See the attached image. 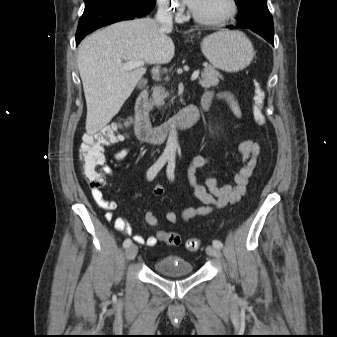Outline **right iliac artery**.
<instances>
[{"label":"right iliac artery","instance_id":"obj_1","mask_svg":"<svg viewBox=\"0 0 337 337\" xmlns=\"http://www.w3.org/2000/svg\"><path fill=\"white\" fill-rule=\"evenodd\" d=\"M169 157L167 155H162L160 158L148 169L147 171V179L153 180L157 173L161 170V168L166 164ZM132 244L131 239L127 238L123 242V247L128 248Z\"/></svg>","mask_w":337,"mask_h":337}]
</instances>
